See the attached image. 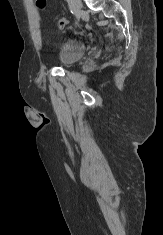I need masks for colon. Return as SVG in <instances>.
Listing matches in <instances>:
<instances>
[{"mask_svg":"<svg viewBox=\"0 0 163 235\" xmlns=\"http://www.w3.org/2000/svg\"><path fill=\"white\" fill-rule=\"evenodd\" d=\"M37 6L41 9L46 7V0H36ZM67 25V19L64 17H59L56 20V26L59 29H63Z\"/></svg>","mask_w":163,"mask_h":235,"instance_id":"obj_1","label":"colon"}]
</instances>
